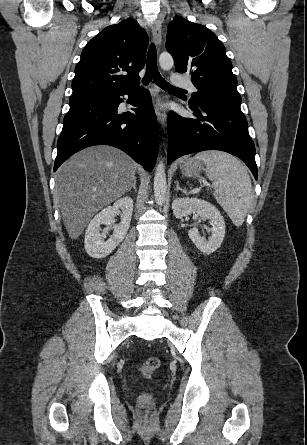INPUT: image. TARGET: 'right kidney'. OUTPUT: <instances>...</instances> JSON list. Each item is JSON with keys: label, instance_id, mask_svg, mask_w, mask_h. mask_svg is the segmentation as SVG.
<instances>
[{"label": "right kidney", "instance_id": "right-kidney-1", "mask_svg": "<svg viewBox=\"0 0 307 445\" xmlns=\"http://www.w3.org/2000/svg\"><path fill=\"white\" fill-rule=\"evenodd\" d=\"M121 208V223L119 225H112L114 223L115 212ZM133 210V200L131 196H123L114 202L113 206H106L101 212H98L94 218H92L91 223L87 227L85 233V251L93 257V259H103L110 255L119 243L125 239L128 229L130 227V220ZM100 225H107V227H112L114 229L113 235H111L108 241H103L100 235L99 227Z\"/></svg>", "mask_w": 307, "mask_h": 445}]
</instances>
